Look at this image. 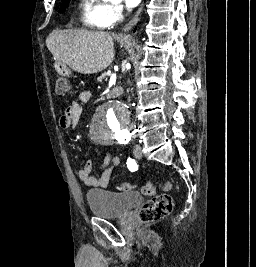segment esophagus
<instances>
[{
	"mask_svg": "<svg viewBox=\"0 0 256 267\" xmlns=\"http://www.w3.org/2000/svg\"><path fill=\"white\" fill-rule=\"evenodd\" d=\"M143 9V5H141V7L139 8V10L136 12V14L134 15V17L130 20V22H128L125 27L123 28V31L122 33L126 34L128 33L133 27L134 25H136L137 21H138V18H139V15L141 13Z\"/></svg>",
	"mask_w": 256,
	"mask_h": 267,
	"instance_id": "34e87169",
	"label": "esophagus"
}]
</instances>
